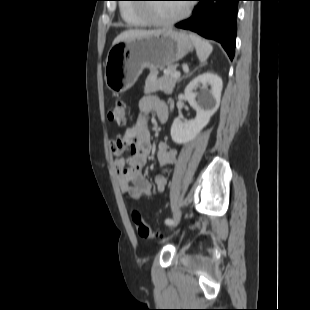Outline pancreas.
<instances>
[{
	"instance_id": "cf45deb5",
	"label": "pancreas",
	"mask_w": 310,
	"mask_h": 310,
	"mask_svg": "<svg viewBox=\"0 0 310 310\" xmlns=\"http://www.w3.org/2000/svg\"><path fill=\"white\" fill-rule=\"evenodd\" d=\"M176 66H169L164 70V76L157 78V71H151L145 81L144 93H154L157 91H164L165 94H171L174 90L177 78H173L172 74L176 72Z\"/></svg>"
}]
</instances>
